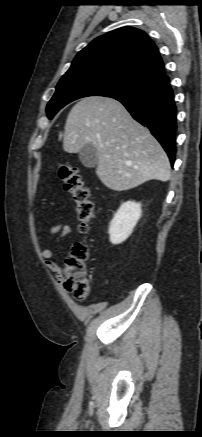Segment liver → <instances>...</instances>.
<instances>
[{
	"mask_svg": "<svg viewBox=\"0 0 202 437\" xmlns=\"http://www.w3.org/2000/svg\"><path fill=\"white\" fill-rule=\"evenodd\" d=\"M88 143L97 150L96 174L111 190L125 191L149 180L168 181L171 177L162 146L115 99L86 97L72 107L63 149L78 153Z\"/></svg>",
	"mask_w": 202,
	"mask_h": 437,
	"instance_id": "6515ba94",
	"label": "liver"
}]
</instances>
